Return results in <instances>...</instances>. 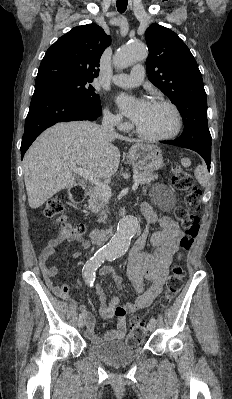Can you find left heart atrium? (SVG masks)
<instances>
[{"instance_id": "1", "label": "left heart atrium", "mask_w": 232, "mask_h": 399, "mask_svg": "<svg viewBox=\"0 0 232 399\" xmlns=\"http://www.w3.org/2000/svg\"><path fill=\"white\" fill-rule=\"evenodd\" d=\"M117 102L121 111L134 123L141 120L149 107V104L145 102L135 104L131 98L126 96L119 97Z\"/></svg>"}]
</instances>
